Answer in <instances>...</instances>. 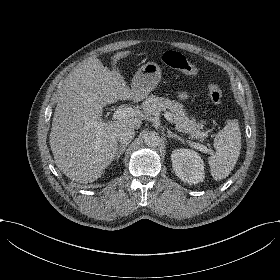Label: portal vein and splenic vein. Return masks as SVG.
Listing matches in <instances>:
<instances>
[{"label": "portal vein and splenic vein", "mask_w": 280, "mask_h": 280, "mask_svg": "<svg viewBox=\"0 0 280 280\" xmlns=\"http://www.w3.org/2000/svg\"><path fill=\"white\" fill-rule=\"evenodd\" d=\"M136 116H143V114L140 111H137L131 107H124V108H119L116 109V111L113 114L114 119H124L126 117H136ZM164 117L166 118L167 121H172L173 116L172 113L166 111L164 113ZM96 126H98V122H95ZM191 147H194L195 149H199L200 151L204 153H210L213 154V151L208 149L205 145L195 143V142H190L189 144Z\"/></svg>", "instance_id": "obj_1"}]
</instances>
